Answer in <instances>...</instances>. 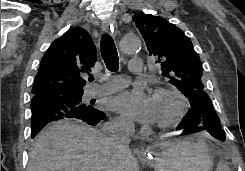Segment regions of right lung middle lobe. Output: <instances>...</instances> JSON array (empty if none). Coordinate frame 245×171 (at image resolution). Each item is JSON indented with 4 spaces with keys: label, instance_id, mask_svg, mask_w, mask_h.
I'll list each match as a JSON object with an SVG mask.
<instances>
[{
    "label": "right lung middle lobe",
    "instance_id": "obj_1",
    "mask_svg": "<svg viewBox=\"0 0 245 171\" xmlns=\"http://www.w3.org/2000/svg\"><path fill=\"white\" fill-rule=\"evenodd\" d=\"M81 98H82V95H80L79 97H77V103L81 104Z\"/></svg>",
    "mask_w": 245,
    "mask_h": 171
}]
</instances>
